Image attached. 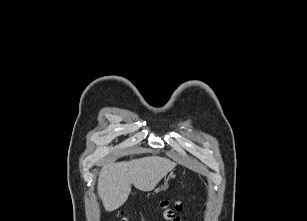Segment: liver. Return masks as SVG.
<instances>
[{"label": "liver", "instance_id": "6515ba94", "mask_svg": "<svg viewBox=\"0 0 307 221\" xmlns=\"http://www.w3.org/2000/svg\"><path fill=\"white\" fill-rule=\"evenodd\" d=\"M171 160L158 156L104 165L98 179L97 192L106 211L122 206L133 184L138 190L151 191L175 168Z\"/></svg>", "mask_w": 307, "mask_h": 221}]
</instances>
